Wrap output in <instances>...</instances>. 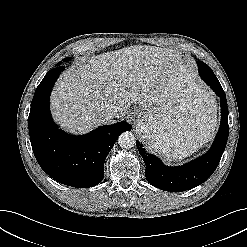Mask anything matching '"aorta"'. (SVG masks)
<instances>
[{"label": "aorta", "instance_id": "1", "mask_svg": "<svg viewBox=\"0 0 247 247\" xmlns=\"http://www.w3.org/2000/svg\"><path fill=\"white\" fill-rule=\"evenodd\" d=\"M118 144L122 148H132L136 144V138L131 132L125 131L118 137Z\"/></svg>", "mask_w": 247, "mask_h": 247}]
</instances>
